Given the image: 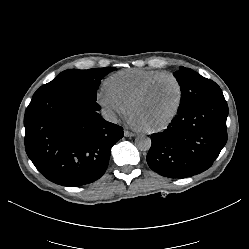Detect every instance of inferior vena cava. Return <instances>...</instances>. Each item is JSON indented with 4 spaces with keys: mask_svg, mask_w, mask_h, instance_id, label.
Segmentation results:
<instances>
[{
    "mask_svg": "<svg viewBox=\"0 0 249 249\" xmlns=\"http://www.w3.org/2000/svg\"><path fill=\"white\" fill-rule=\"evenodd\" d=\"M101 116L103 117L104 120H106L108 122H111V123L118 122L117 115L115 114V112H113L110 109H102Z\"/></svg>",
    "mask_w": 249,
    "mask_h": 249,
    "instance_id": "1",
    "label": "inferior vena cava"
}]
</instances>
